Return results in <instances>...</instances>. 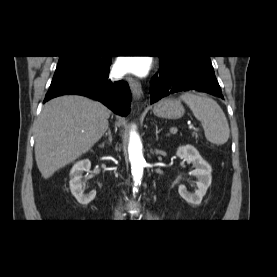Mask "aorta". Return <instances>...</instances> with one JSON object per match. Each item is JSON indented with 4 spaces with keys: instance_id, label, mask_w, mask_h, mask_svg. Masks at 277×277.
<instances>
[{
    "instance_id": "1",
    "label": "aorta",
    "mask_w": 277,
    "mask_h": 277,
    "mask_svg": "<svg viewBox=\"0 0 277 277\" xmlns=\"http://www.w3.org/2000/svg\"><path fill=\"white\" fill-rule=\"evenodd\" d=\"M128 154L131 163V172L134 180L133 192H137L136 186L141 183L145 159L142 154V143L138 133L135 131V127H133V130H131L130 132Z\"/></svg>"
}]
</instances>
